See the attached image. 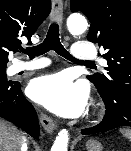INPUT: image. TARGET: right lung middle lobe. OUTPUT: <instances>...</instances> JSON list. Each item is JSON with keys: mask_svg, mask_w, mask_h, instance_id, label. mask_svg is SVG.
<instances>
[{"mask_svg": "<svg viewBox=\"0 0 131 151\" xmlns=\"http://www.w3.org/2000/svg\"><path fill=\"white\" fill-rule=\"evenodd\" d=\"M6 66L7 62L0 63V80H7Z\"/></svg>", "mask_w": 131, "mask_h": 151, "instance_id": "obj_1", "label": "right lung middle lobe"}]
</instances>
